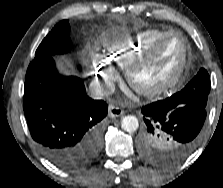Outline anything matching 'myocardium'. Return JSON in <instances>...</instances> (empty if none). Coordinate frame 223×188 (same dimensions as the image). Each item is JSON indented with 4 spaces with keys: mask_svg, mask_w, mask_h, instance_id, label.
<instances>
[{
    "mask_svg": "<svg viewBox=\"0 0 223 188\" xmlns=\"http://www.w3.org/2000/svg\"><path fill=\"white\" fill-rule=\"evenodd\" d=\"M173 36L179 37L183 45V54L176 71L171 76H169L168 78L162 80L157 84L151 86H145L141 84L137 79L138 74L142 70H144L148 65H150L153 61L159 58V54L163 45L169 38ZM189 53H190V46L185 36L177 31H169L166 34H164L159 40H157L135 62H133L131 65L127 67L126 70L127 81L135 91L146 97L159 96L169 91L170 89L175 88L182 81L186 73L189 60Z\"/></svg>",
    "mask_w": 223,
    "mask_h": 188,
    "instance_id": "myocardium-1",
    "label": "myocardium"
}]
</instances>
